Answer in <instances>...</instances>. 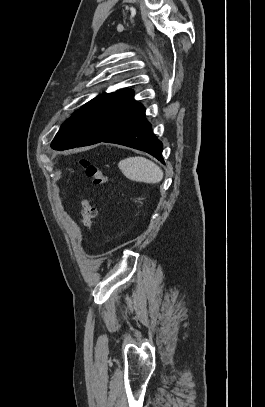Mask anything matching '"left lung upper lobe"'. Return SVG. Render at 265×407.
Returning <instances> with one entry per match:
<instances>
[{
  "label": "left lung upper lobe",
  "mask_w": 265,
  "mask_h": 407,
  "mask_svg": "<svg viewBox=\"0 0 265 407\" xmlns=\"http://www.w3.org/2000/svg\"><path fill=\"white\" fill-rule=\"evenodd\" d=\"M145 115L143 105L133 99V91L103 93L73 115L60 127L51 148L65 145L81 147L96 144Z\"/></svg>",
  "instance_id": "obj_1"
}]
</instances>
